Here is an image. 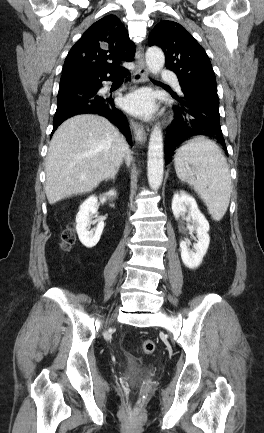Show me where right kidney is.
<instances>
[{
  "label": "right kidney",
  "mask_w": 264,
  "mask_h": 433,
  "mask_svg": "<svg viewBox=\"0 0 264 433\" xmlns=\"http://www.w3.org/2000/svg\"><path fill=\"white\" fill-rule=\"evenodd\" d=\"M109 197H114L116 195L115 191L111 190L105 194ZM97 197L90 196L86 199L80 206L79 212L76 216V231L80 242L88 247H94L100 240L101 234L104 229V222L102 219L97 218L92 220V218L97 217ZM97 224L93 229H90L91 224Z\"/></svg>",
  "instance_id": "obj_1"
}]
</instances>
